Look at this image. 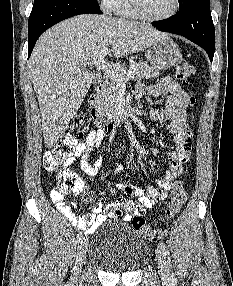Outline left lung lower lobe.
<instances>
[{
	"mask_svg": "<svg viewBox=\"0 0 233 286\" xmlns=\"http://www.w3.org/2000/svg\"><path fill=\"white\" fill-rule=\"evenodd\" d=\"M161 31L186 37L201 46L211 62L215 50V28L210 13V0H194L189 7L168 19L152 22Z\"/></svg>",
	"mask_w": 233,
	"mask_h": 286,
	"instance_id": "obj_1",
	"label": "left lung lower lobe"
}]
</instances>
